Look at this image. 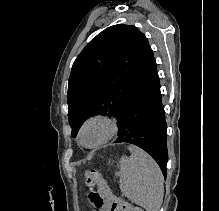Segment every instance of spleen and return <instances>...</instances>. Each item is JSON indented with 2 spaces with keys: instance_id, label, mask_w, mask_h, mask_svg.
Listing matches in <instances>:
<instances>
[{
  "instance_id": "obj_1",
  "label": "spleen",
  "mask_w": 219,
  "mask_h": 211,
  "mask_svg": "<svg viewBox=\"0 0 219 211\" xmlns=\"http://www.w3.org/2000/svg\"><path fill=\"white\" fill-rule=\"evenodd\" d=\"M128 149L131 155H122L120 159V189L147 211H159L164 195L161 169L141 147L129 145Z\"/></svg>"
}]
</instances>
